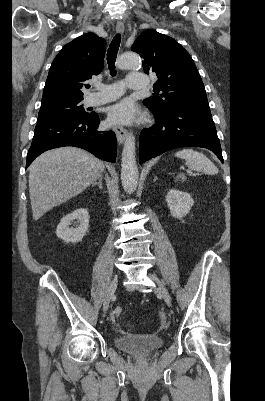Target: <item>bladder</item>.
I'll list each match as a JSON object with an SVG mask.
<instances>
[{
  "instance_id": "obj_1",
  "label": "bladder",
  "mask_w": 265,
  "mask_h": 401,
  "mask_svg": "<svg viewBox=\"0 0 265 401\" xmlns=\"http://www.w3.org/2000/svg\"><path fill=\"white\" fill-rule=\"evenodd\" d=\"M163 338L149 335L116 338L115 344L120 351H125L136 358H147L163 345Z\"/></svg>"
}]
</instances>
